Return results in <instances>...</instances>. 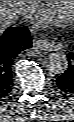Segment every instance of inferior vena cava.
I'll return each mask as SVG.
<instances>
[{
  "mask_svg": "<svg viewBox=\"0 0 74 122\" xmlns=\"http://www.w3.org/2000/svg\"><path fill=\"white\" fill-rule=\"evenodd\" d=\"M20 15L24 19L33 18L35 15V10L33 5H25L21 8Z\"/></svg>",
  "mask_w": 74,
  "mask_h": 122,
  "instance_id": "1",
  "label": "inferior vena cava"
}]
</instances>
